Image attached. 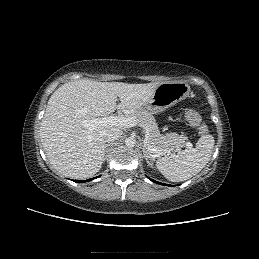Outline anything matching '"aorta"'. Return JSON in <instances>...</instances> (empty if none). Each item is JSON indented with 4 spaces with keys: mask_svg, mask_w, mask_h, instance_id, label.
Instances as JSON below:
<instances>
[{
    "mask_svg": "<svg viewBox=\"0 0 259 259\" xmlns=\"http://www.w3.org/2000/svg\"><path fill=\"white\" fill-rule=\"evenodd\" d=\"M135 144H136V140H135L134 138H132V137L126 138V140H125V145H126L127 147H134Z\"/></svg>",
    "mask_w": 259,
    "mask_h": 259,
    "instance_id": "1",
    "label": "aorta"
}]
</instances>
